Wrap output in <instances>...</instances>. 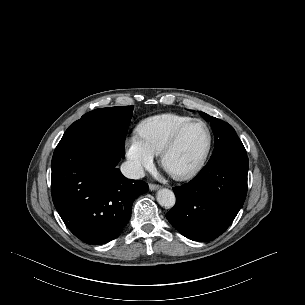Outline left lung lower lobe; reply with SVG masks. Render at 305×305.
Wrapping results in <instances>:
<instances>
[{
    "instance_id": "left-lung-lower-lobe-1",
    "label": "left lung lower lobe",
    "mask_w": 305,
    "mask_h": 305,
    "mask_svg": "<svg viewBox=\"0 0 305 305\" xmlns=\"http://www.w3.org/2000/svg\"><path fill=\"white\" fill-rule=\"evenodd\" d=\"M246 152H229L208 161L187 184L174 187L175 206L166 214L183 236L211 241L232 223L247 194Z\"/></svg>"
}]
</instances>
